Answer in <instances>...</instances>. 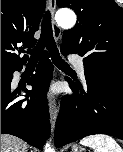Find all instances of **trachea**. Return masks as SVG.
Here are the masks:
<instances>
[{
	"label": "trachea",
	"mask_w": 123,
	"mask_h": 152,
	"mask_svg": "<svg viewBox=\"0 0 123 152\" xmlns=\"http://www.w3.org/2000/svg\"><path fill=\"white\" fill-rule=\"evenodd\" d=\"M50 52L53 63L63 69L69 68V65L61 58L59 55L56 43L53 38V32L51 27V15L47 11L43 17L41 24V37L36 45V47L30 50L31 57L29 59V64H36L39 60V56L44 47Z\"/></svg>",
	"instance_id": "obj_1"
}]
</instances>
